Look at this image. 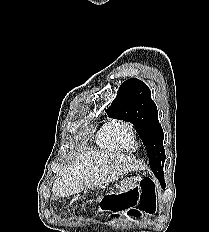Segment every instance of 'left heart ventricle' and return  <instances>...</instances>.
<instances>
[{"instance_id": "left-heart-ventricle-1", "label": "left heart ventricle", "mask_w": 209, "mask_h": 232, "mask_svg": "<svg viewBox=\"0 0 209 232\" xmlns=\"http://www.w3.org/2000/svg\"><path fill=\"white\" fill-rule=\"evenodd\" d=\"M120 138H121L123 144L127 148L132 149L134 147V142L132 140L131 134L128 131L122 130L120 132Z\"/></svg>"}]
</instances>
